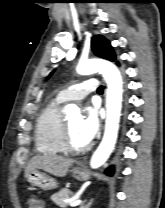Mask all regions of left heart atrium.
Listing matches in <instances>:
<instances>
[{"label": "left heart atrium", "instance_id": "39dd6f15", "mask_svg": "<svg viewBox=\"0 0 165 208\" xmlns=\"http://www.w3.org/2000/svg\"><path fill=\"white\" fill-rule=\"evenodd\" d=\"M100 126L99 110L95 105L86 108L81 119L79 132L86 143H90L98 133Z\"/></svg>", "mask_w": 165, "mask_h": 208}]
</instances>
